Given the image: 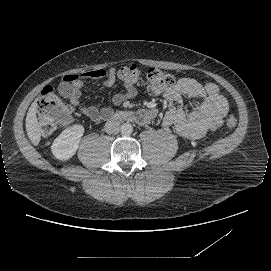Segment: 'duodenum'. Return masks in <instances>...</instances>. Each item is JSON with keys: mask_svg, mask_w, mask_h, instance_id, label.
Instances as JSON below:
<instances>
[{"mask_svg": "<svg viewBox=\"0 0 271 271\" xmlns=\"http://www.w3.org/2000/svg\"><path fill=\"white\" fill-rule=\"evenodd\" d=\"M112 119L126 120V119H139L138 116L130 112H118Z\"/></svg>", "mask_w": 271, "mask_h": 271, "instance_id": "obj_1", "label": "duodenum"}]
</instances>
